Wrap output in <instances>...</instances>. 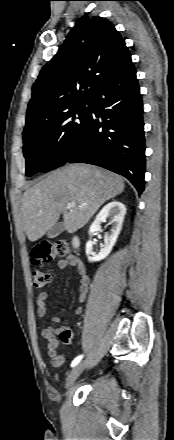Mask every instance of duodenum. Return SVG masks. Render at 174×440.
Masks as SVG:
<instances>
[{
	"label": "duodenum",
	"mask_w": 174,
	"mask_h": 440,
	"mask_svg": "<svg viewBox=\"0 0 174 440\" xmlns=\"http://www.w3.org/2000/svg\"><path fill=\"white\" fill-rule=\"evenodd\" d=\"M72 246L75 249H79V247H80V238L78 236L73 237V239H72Z\"/></svg>",
	"instance_id": "duodenum-1"
}]
</instances>
